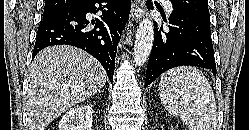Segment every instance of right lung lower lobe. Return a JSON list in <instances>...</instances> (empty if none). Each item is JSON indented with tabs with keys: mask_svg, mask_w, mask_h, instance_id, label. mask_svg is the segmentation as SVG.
Returning a JSON list of instances; mask_svg holds the SVG:
<instances>
[{
	"mask_svg": "<svg viewBox=\"0 0 249 130\" xmlns=\"http://www.w3.org/2000/svg\"><path fill=\"white\" fill-rule=\"evenodd\" d=\"M99 4V8L95 4ZM131 0H86L67 14L40 22L33 58L52 45H72L94 56L113 82L115 55L120 34L129 16ZM102 11L100 18L87 20V13ZM94 24V28L90 25Z\"/></svg>",
	"mask_w": 249,
	"mask_h": 130,
	"instance_id": "obj_1",
	"label": "right lung lower lobe"
}]
</instances>
